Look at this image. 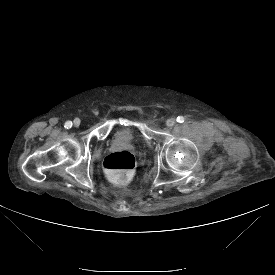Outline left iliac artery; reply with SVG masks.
Masks as SVG:
<instances>
[{
    "instance_id": "1",
    "label": "left iliac artery",
    "mask_w": 275,
    "mask_h": 275,
    "mask_svg": "<svg viewBox=\"0 0 275 275\" xmlns=\"http://www.w3.org/2000/svg\"><path fill=\"white\" fill-rule=\"evenodd\" d=\"M184 120H185V118L183 116H178L177 117V122H179V123L184 122Z\"/></svg>"
}]
</instances>
